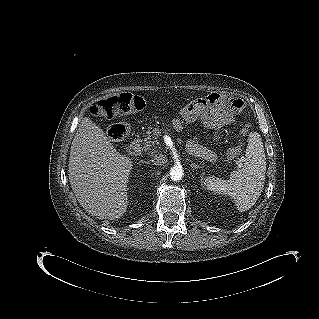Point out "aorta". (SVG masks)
Segmentation results:
<instances>
[{"mask_svg": "<svg viewBox=\"0 0 319 319\" xmlns=\"http://www.w3.org/2000/svg\"><path fill=\"white\" fill-rule=\"evenodd\" d=\"M183 175H184L183 169L180 166H174L170 169V178L173 181L181 180Z\"/></svg>", "mask_w": 319, "mask_h": 319, "instance_id": "aorta-1", "label": "aorta"}]
</instances>
